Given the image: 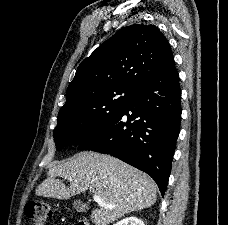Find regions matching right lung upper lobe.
<instances>
[{
  "label": "right lung upper lobe",
  "instance_id": "obj_1",
  "mask_svg": "<svg viewBox=\"0 0 228 225\" xmlns=\"http://www.w3.org/2000/svg\"><path fill=\"white\" fill-rule=\"evenodd\" d=\"M171 59L168 40L156 26L123 27L79 65L68 86L65 104L111 85L136 89Z\"/></svg>",
  "mask_w": 228,
  "mask_h": 225
}]
</instances>
